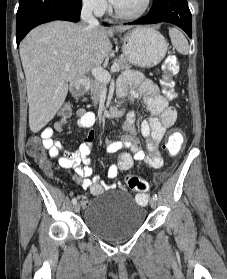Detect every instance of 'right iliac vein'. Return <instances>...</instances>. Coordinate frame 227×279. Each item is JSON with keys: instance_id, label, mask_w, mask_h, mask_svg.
Returning <instances> with one entry per match:
<instances>
[{"instance_id": "obj_1", "label": "right iliac vein", "mask_w": 227, "mask_h": 279, "mask_svg": "<svg viewBox=\"0 0 227 279\" xmlns=\"http://www.w3.org/2000/svg\"><path fill=\"white\" fill-rule=\"evenodd\" d=\"M73 208H74V211H75V212H79V211H80V204L76 203V204L73 206Z\"/></svg>"}]
</instances>
